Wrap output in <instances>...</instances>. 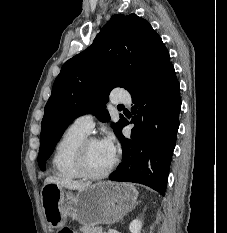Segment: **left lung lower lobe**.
Masks as SVG:
<instances>
[{
	"label": "left lung lower lobe",
	"instance_id": "left-lung-lower-lobe-1",
	"mask_svg": "<svg viewBox=\"0 0 227 233\" xmlns=\"http://www.w3.org/2000/svg\"><path fill=\"white\" fill-rule=\"evenodd\" d=\"M131 137L117 135L123 161L109 177L134 182L165 194L181 109L180 85L173 65L147 90L132 95ZM129 122L125 119L123 126ZM122 130V129H121Z\"/></svg>",
	"mask_w": 227,
	"mask_h": 233
}]
</instances>
